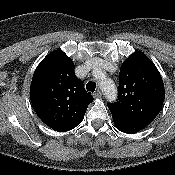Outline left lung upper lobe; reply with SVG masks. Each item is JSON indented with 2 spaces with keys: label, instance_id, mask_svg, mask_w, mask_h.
<instances>
[{
  "label": "left lung upper lobe",
  "instance_id": "5c2ea615",
  "mask_svg": "<svg viewBox=\"0 0 175 175\" xmlns=\"http://www.w3.org/2000/svg\"><path fill=\"white\" fill-rule=\"evenodd\" d=\"M119 79L118 100L108 104L112 116L151 123L165 97L163 80L154 63L142 52H134L121 65Z\"/></svg>",
  "mask_w": 175,
  "mask_h": 175
}]
</instances>
